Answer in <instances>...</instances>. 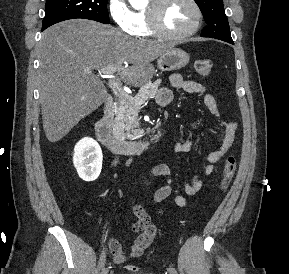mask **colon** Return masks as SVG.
Returning <instances> with one entry per match:
<instances>
[{
  "label": "colon",
  "mask_w": 289,
  "mask_h": 274,
  "mask_svg": "<svg viewBox=\"0 0 289 274\" xmlns=\"http://www.w3.org/2000/svg\"><path fill=\"white\" fill-rule=\"evenodd\" d=\"M195 71L201 77L210 76L213 70V62L210 59H199L195 61L194 64ZM237 168V163L234 155H228L224 161V166L222 170V177L220 182V187L222 190L227 189V187L232 182ZM126 269L131 272L138 271V267L133 264L126 266Z\"/></svg>",
  "instance_id": "5ec220e1"
}]
</instances>
